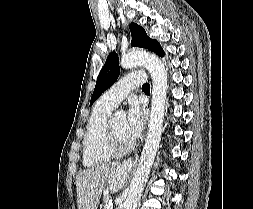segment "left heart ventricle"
Masks as SVG:
<instances>
[{
    "instance_id": "b2bd125f",
    "label": "left heart ventricle",
    "mask_w": 253,
    "mask_h": 209,
    "mask_svg": "<svg viewBox=\"0 0 253 209\" xmlns=\"http://www.w3.org/2000/svg\"><path fill=\"white\" fill-rule=\"evenodd\" d=\"M125 121L124 117L114 118L112 120L114 133L121 146H128L132 143L128 140L125 134Z\"/></svg>"
}]
</instances>
